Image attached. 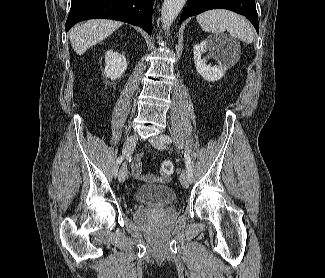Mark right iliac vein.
I'll return each instance as SVG.
<instances>
[{
	"label": "right iliac vein",
	"mask_w": 325,
	"mask_h": 278,
	"mask_svg": "<svg viewBox=\"0 0 325 278\" xmlns=\"http://www.w3.org/2000/svg\"><path fill=\"white\" fill-rule=\"evenodd\" d=\"M137 141H138L137 135H132L127 138V140L124 143L123 150H122V152L125 156H128L134 150ZM118 178H119L120 182H122V183L125 182V180L127 178V169H126L125 165H122V167L120 168Z\"/></svg>",
	"instance_id": "63e3f726"
}]
</instances>
